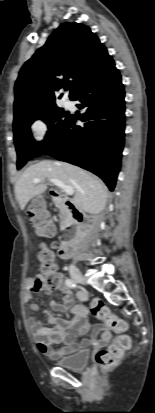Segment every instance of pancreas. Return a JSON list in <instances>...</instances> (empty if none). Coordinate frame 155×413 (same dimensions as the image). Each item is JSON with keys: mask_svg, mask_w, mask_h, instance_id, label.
<instances>
[{"mask_svg": "<svg viewBox=\"0 0 155 413\" xmlns=\"http://www.w3.org/2000/svg\"><path fill=\"white\" fill-rule=\"evenodd\" d=\"M55 205L57 206V208L60 211V217L62 218L63 216L67 215L66 209L62 206V204L58 201L55 200Z\"/></svg>", "mask_w": 155, "mask_h": 413, "instance_id": "1", "label": "pancreas"}]
</instances>
